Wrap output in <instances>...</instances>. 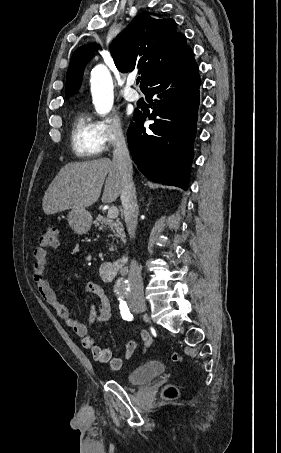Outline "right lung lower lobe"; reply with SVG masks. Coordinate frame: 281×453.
Listing matches in <instances>:
<instances>
[{"label": "right lung lower lobe", "mask_w": 281, "mask_h": 453, "mask_svg": "<svg viewBox=\"0 0 281 453\" xmlns=\"http://www.w3.org/2000/svg\"><path fill=\"white\" fill-rule=\"evenodd\" d=\"M200 84L199 69L190 51L142 90L153 109L149 116L154 120L149 126L152 132L143 128L146 115L135 112L127 139L138 169L154 182L187 190Z\"/></svg>", "instance_id": "obj_1"}]
</instances>
